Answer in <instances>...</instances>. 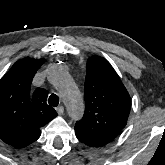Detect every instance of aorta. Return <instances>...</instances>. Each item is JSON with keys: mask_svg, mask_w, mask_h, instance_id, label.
Returning a JSON list of instances; mask_svg holds the SVG:
<instances>
[{"mask_svg": "<svg viewBox=\"0 0 165 165\" xmlns=\"http://www.w3.org/2000/svg\"><path fill=\"white\" fill-rule=\"evenodd\" d=\"M48 78L54 84L63 87V101L71 120L76 121L81 119L84 113L82 94L65 68L61 65L54 66L49 72Z\"/></svg>", "mask_w": 165, "mask_h": 165, "instance_id": "762f6f07", "label": "aorta"}]
</instances>
